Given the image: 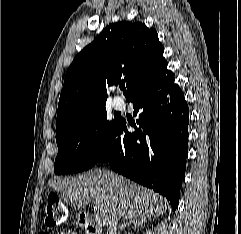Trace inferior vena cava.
Masks as SVG:
<instances>
[{"mask_svg": "<svg viewBox=\"0 0 241 234\" xmlns=\"http://www.w3.org/2000/svg\"><path fill=\"white\" fill-rule=\"evenodd\" d=\"M119 217L115 216L109 224L108 233L109 234H117V224H118ZM107 233V234H108Z\"/></svg>", "mask_w": 241, "mask_h": 234, "instance_id": "inferior-vena-cava-1", "label": "inferior vena cava"}]
</instances>
